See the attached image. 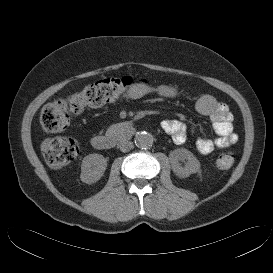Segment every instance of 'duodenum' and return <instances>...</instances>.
Wrapping results in <instances>:
<instances>
[{"label":"duodenum","mask_w":273,"mask_h":273,"mask_svg":"<svg viewBox=\"0 0 273 273\" xmlns=\"http://www.w3.org/2000/svg\"><path fill=\"white\" fill-rule=\"evenodd\" d=\"M132 132L133 127L131 125L123 124L107 134L93 136L91 144L98 150L111 149L126 140Z\"/></svg>","instance_id":"duodenum-1"}]
</instances>
